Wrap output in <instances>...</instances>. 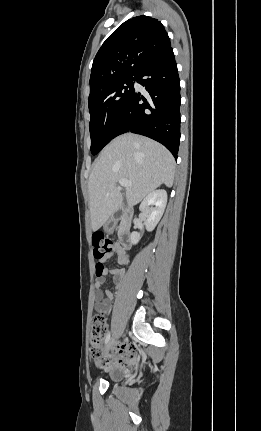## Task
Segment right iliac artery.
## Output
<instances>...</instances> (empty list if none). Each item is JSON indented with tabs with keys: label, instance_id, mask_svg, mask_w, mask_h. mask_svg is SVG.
Returning a JSON list of instances; mask_svg holds the SVG:
<instances>
[{
	"label": "right iliac artery",
	"instance_id": "1",
	"mask_svg": "<svg viewBox=\"0 0 261 431\" xmlns=\"http://www.w3.org/2000/svg\"><path fill=\"white\" fill-rule=\"evenodd\" d=\"M109 340H110V332H108L106 335L105 344H107Z\"/></svg>",
	"mask_w": 261,
	"mask_h": 431
}]
</instances>
